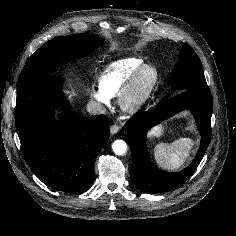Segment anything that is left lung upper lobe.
Listing matches in <instances>:
<instances>
[{
    "label": "left lung upper lobe",
    "mask_w": 236,
    "mask_h": 236,
    "mask_svg": "<svg viewBox=\"0 0 236 236\" xmlns=\"http://www.w3.org/2000/svg\"><path fill=\"white\" fill-rule=\"evenodd\" d=\"M180 55L172 71V87L181 91L208 87L200 59L195 51L188 44H184Z\"/></svg>",
    "instance_id": "left-lung-upper-lobe-1"
}]
</instances>
